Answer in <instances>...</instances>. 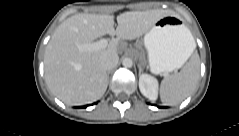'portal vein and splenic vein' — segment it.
<instances>
[{"label":"portal vein and splenic vein","instance_id":"obj_1","mask_svg":"<svg viewBox=\"0 0 239 136\" xmlns=\"http://www.w3.org/2000/svg\"><path fill=\"white\" fill-rule=\"evenodd\" d=\"M107 45H108V40L107 39H101V40L93 42V43L78 45V48H79L80 51L93 52V51H96V50L106 48Z\"/></svg>","mask_w":239,"mask_h":136}]
</instances>
